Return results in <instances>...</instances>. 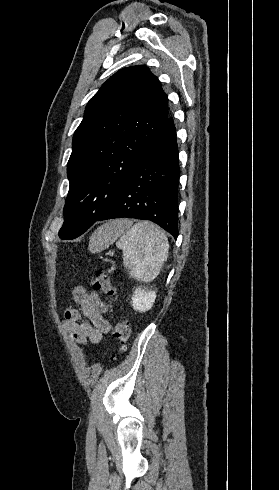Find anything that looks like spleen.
Returning a JSON list of instances; mask_svg holds the SVG:
<instances>
[{"label": "spleen", "mask_w": 279, "mask_h": 490, "mask_svg": "<svg viewBox=\"0 0 279 490\" xmlns=\"http://www.w3.org/2000/svg\"><path fill=\"white\" fill-rule=\"evenodd\" d=\"M117 238L116 246L123 252V266L131 270L130 276L146 284L155 280L168 258L169 244L162 230L148 220L135 226L129 220H112L96 230L89 250L93 254L103 252Z\"/></svg>", "instance_id": "3e777b00"}]
</instances>
